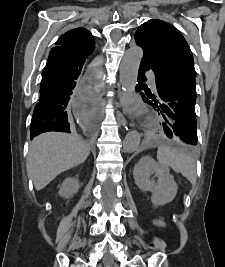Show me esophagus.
Here are the masks:
<instances>
[{"instance_id":"1","label":"esophagus","mask_w":225,"mask_h":267,"mask_svg":"<svg viewBox=\"0 0 225 267\" xmlns=\"http://www.w3.org/2000/svg\"><path fill=\"white\" fill-rule=\"evenodd\" d=\"M125 98H126L125 91L123 89L119 88L118 89L119 101L117 102V106L120 110L118 111V119H119L120 124L124 127L127 125V120L124 116V110H123V105H122V102L125 100Z\"/></svg>"}]
</instances>
